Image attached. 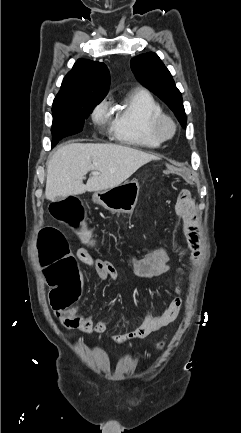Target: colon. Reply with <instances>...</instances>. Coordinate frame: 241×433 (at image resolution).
<instances>
[{"label":"colon","mask_w":241,"mask_h":433,"mask_svg":"<svg viewBox=\"0 0 241 433\" xmlns=\"http://www.w3.org/2000/svg\"><path fill=\"white\" fill-rule=\"evenodd\" d=\"M166 167V164H163ZM190 168H161V177H183L187 183L193 182ZM76 193L71 198H59L51 200L47 206V215H51L52 221H62L64 226L77 229L74 232L75 239L83 242L85 247H92L94 233L89 231L86 238L84 228L87 223L83 220H75V214H86V205H81L76 200ZM38 257L41 262L40 271L45 272L47 284L50 287L49 298L54 312H68L72 310V303L81 292V277L75 258L70 253L64 235L56 228H44L38 238Z\"/></svg>","instance_id":"obj_1"}]
</instances>
